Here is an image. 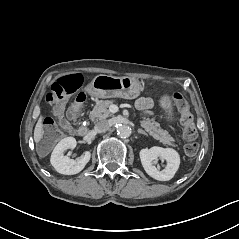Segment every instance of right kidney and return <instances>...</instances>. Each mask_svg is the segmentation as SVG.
<instances>
[{
  "instance_id": "right-kidney-1",
  "label": "right kidney",
  "mask_w": 239,
  "mask_h": 239,
  "mask_svg": "<svg viewBox=\"0 0 239 239\" xmlns=\"http://www.w3.org/2000/svg\"><path fill=\"white\" fill-rule=\"evenodd\" d=\"M76 139L74 137H66L62 139L53 149L50 162L55 170L64 175L77 174L83 170L85 165L89 162L91 153L86 151L77 160L70 159L64 156V151L67 149H74L76 147Z\"/></svg>"
}]
</instances>
